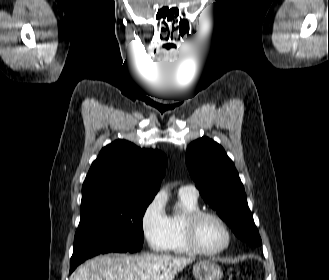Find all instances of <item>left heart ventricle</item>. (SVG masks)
I'll return each instance as SVG.
<instances>
[{
    "mask_svg": "<svg viewBox=\"0 0 329 280\" xmlns=\"http://www.w3.org/2000/svg\"><path fill=\"white\" fill-rule=\"evenodd\" d=\"M198 241L206 250H216L226 242V233L222 225L213 218H203L198 225Z\"/></svg>",
    "mask_w": 329,
    "mask_h": 280,
    "instance_id": "1",
    "label": "left heart ventricle"
}]
</instances>
